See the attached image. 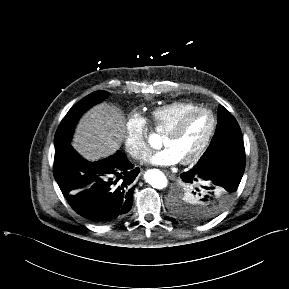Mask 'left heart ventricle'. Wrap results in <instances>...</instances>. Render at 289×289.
<instances>
[{"label": "left heart ventricle", "mask_w": 289, "mask_h": 289, "mask_svg": "<svg viewBox=\"0 0 289 289\" xmlns=\"http://www.w3.org/2000/svg\"><path fill=\"white\" fill-rule=\"evenodd\" d=\"M212 125L211 117L206 113L192 116L183 131L174 137L163 136L162 143L171 148L183 160L191 156L205 140Z\"/></svg>", "instance_id": "b2bd125f"}]
</instances>
